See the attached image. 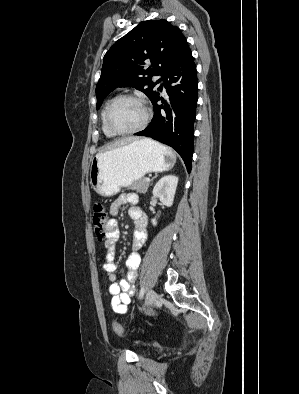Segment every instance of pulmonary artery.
<instances>
[{"mask_svg":"<svg viewBox=\"0 0 299 394\" xmlns=\"http://www.w3.org/2000/svg\"><path fill=\"white\" fill-rule=\"evenodd\" d=\"M158 79L160 80V84L163 85V80L161 75L158 76Z\"/></svg>","mask_w":299,"mask_h":394,"instance_id":"obj_1","label":"pulmonary artery"}]
</instances>
